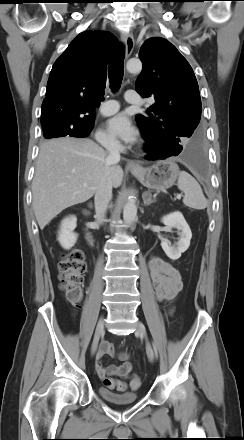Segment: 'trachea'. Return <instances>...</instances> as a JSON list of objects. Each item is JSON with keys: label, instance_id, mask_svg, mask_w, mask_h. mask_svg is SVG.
<instances>
[{"label": "trachea", "instance_id": "1", "mask_svg": "<svg viewBox=\"0 0 244 440\" xmlns=\"http://www.w3.org/2000/svg\"><path fill=\"white\" fill-rule=\"evenodd\" d=\"M123 65H124V49L120 48L112 57L108 68L110 88L114 92H117L120 88L123 79V72H124Z\"/></svg>", "mask_w": 244, "mask_h": 440}]
</instances>
